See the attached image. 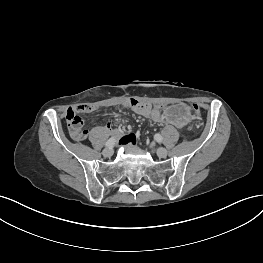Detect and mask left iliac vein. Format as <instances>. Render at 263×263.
I'll list each match as a JSON object with an SVG mask.
<instances>
[{
  "mask_svg": "<svg viewBox=\"0 0 263 263\" xmlns=\"http://www.w3.org/2000/svg\"><path fill=\"white\" fill-rule=\"evenodd\" d=\"M156 153L160 158H165L167 156V150L164 148H158Z\"/></svg>",
  "mask_w": 263,
  "mask_h": 263,
  "instance_id": "left-iliac-vein-1",
  "label": "left iliac vein"
}]
</instances>
